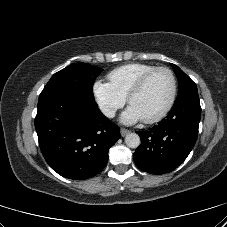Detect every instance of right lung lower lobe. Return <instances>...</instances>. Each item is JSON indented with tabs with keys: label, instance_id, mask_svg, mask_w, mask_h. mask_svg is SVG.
I'll list each match as a JSON object with an SVG mask.
<instances>
[{
	"label": "right lung lower lobe",
	"instance_id": "right-lung-lower-lobe-1",
	"mask_svg": "<svg viewBox=\"0 0 227 227\" xmlns=\"http://www.w3.org/2000/svg\"><path fill=\"white\" fill-rule=\"evenodd\" d=\"M41 152L59 175L85 180L103 170L120 129L94 99L69 87L42 91L35 118Z\"/></svg>",
	"mask_w": 227,
	"mask_h": 227
}]
</instances>
